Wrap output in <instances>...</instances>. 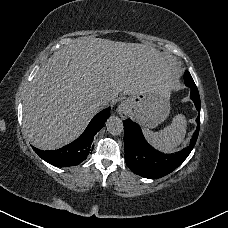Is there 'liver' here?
<instances>
[{
    "instance_id": "liver-1",
    "label": "liver",
    "mask_w": 228,
    "mask_h": 228,
    "mask_svg": "<svg viewBox=\"0 0 228 228\" xmlns=\"http://www.w3.org/2000/svg\"><path fill=\"white\" fill-rule=\"evenodd\" d=\"M181 75L174 58L147 44L80 37L54 52L36 73L23 102L31 144L59 149L78 138L100 110L101 97L151 88L170 94Z\"/></svg>"
}]
</instances>
